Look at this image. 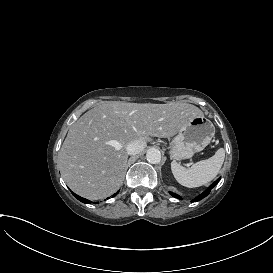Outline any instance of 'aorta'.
Here are the masks:
<instances>
[{
	"label": "aorta",
	"instance_id": "obj_1",
	"mask_svg": "<svg viewBox=\"0 0 273 273\" xmlns=\"http://www.w3.org/2000/svg\"><path fill=\"white\" fill-rule=\"evenodd\" d=\"M147 161L151 164H158L161 161V153L156 148H150L146 153Z\"/></svg>",
	"mask_w": 273,
	"mask_h": 273
}]
</instances>
